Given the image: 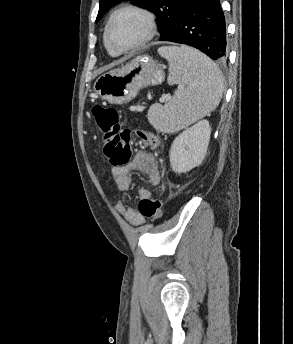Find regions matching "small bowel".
I'll return each mask as SVG.
<instances>
[{
	"label": "small bowel",
	"mask_w": 293,
	"mask_h": 344,
	"mask_svg": "<svg viewBox=\"0 0 293 344\" xmlns=\"http://www.w3.org/2000/svg\"><path fill=\"white\" fill-rule=\"evenodd\" d=\"M139 171L148 176L154 186L161 183V173L156 159L146 151H138L133 161L126 166L116 167L112 170V176L119 191L126 192L132 184L131 173ZM140 199L150 198L151 192L146 189L139 190ZM116 210L132 225H141L145 217L135 208L120 201L116 205Z\"/></svg>",
	"instance_id": "obj_1"
}]
</instances>
